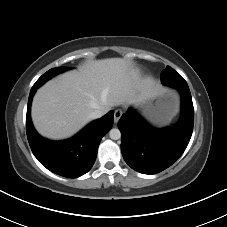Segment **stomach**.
<instances>
[{"instance_id":"1","label":"stomach","mask_w":227,"mask_h":227,"mask_svg":"<svg viewBox=\"0 0 227 227\" xmlns=\"http://www.w3.org/2000/svg\"><path fill=\"white\" fill-rule=\"evenodd\" d=\"M144 115L153 123H168L178 110V97L173 92L156 95L143 104Z\"/></svg>"}]
</instances>
